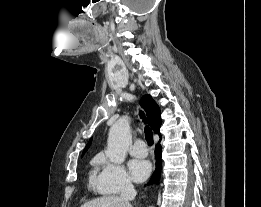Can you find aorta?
<instances>
[{"label":"aorta","instance_id":"1","mask_svg":"<svg viewBox=\"0 0 261 207\" xmlns=\"http://www.w3.org/2000/svg\"><path fill=\"white\" fill-rule=\"evenodd\" d=\"M131 143L132 136L129 119L121 117L109 130L107 150L105 152L107 158L115 164H122Z\"/></svg>","mask_w":261,"mask_h":207}]
</instances>
